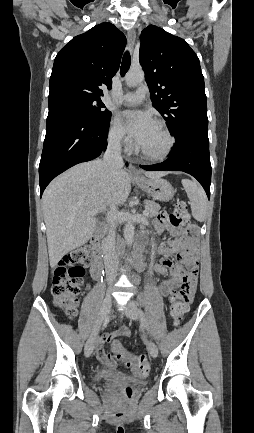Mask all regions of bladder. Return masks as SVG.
I'll return each mask as SVG.
<instances>
[{"label":"bladder","instance_id":"bladder-1","mask_svg":"<svg viewBox=\"0 0 254 433\" xmlns=\"http://www.w3.org/2000/svg\"><path fill=\"white\" fill-rule=\"evenodd\" d=\"M104 380H105V375H103V374H98V375L96 376V381H97L98 383H103Z\"/></svg>","mask_w":254,"mask_h":433}]
</instances>
